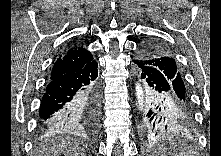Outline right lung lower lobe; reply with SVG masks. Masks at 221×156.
Masks as SVG:
<instances>
[{"label": "right lung lower lobe", "instance_id": "right-lung-lower-lobe-1", "mask_svg": "<svg viewBox=\"0 0 221 156\" xmlns=\"http://www.w3.org/2000/svg\"><path fill=\"white\" fill-rule=\"evenodd\" d=\"M97 67L93 60L49 81L39 109L40 134L96 126L100 110Z\"/></svg>", "mask_w": 221, "mask_h": 156}]
</instances>
